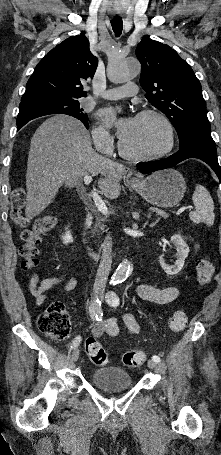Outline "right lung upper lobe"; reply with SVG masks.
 <instances>
[{"label": "right lung upper lobe", "instance_id": "obj_1", "mask_svg": "<svg viewBox=\"0 0 221 455\" xmlns=\"http://www.w3.org/2000/svg\"><path fill=\"white\" fill-rule=\"evenodd\" d=\"M97 64L84 34L64 40L38 63L19 107L86 97L82 84L93 78Z\"/></svg>", "mask_w": 221, "mask_h": 455}]
</instances>
